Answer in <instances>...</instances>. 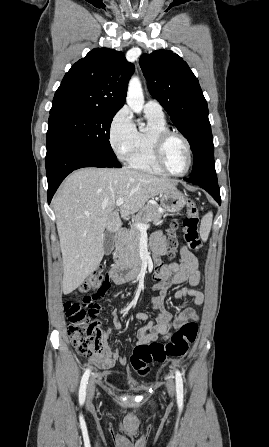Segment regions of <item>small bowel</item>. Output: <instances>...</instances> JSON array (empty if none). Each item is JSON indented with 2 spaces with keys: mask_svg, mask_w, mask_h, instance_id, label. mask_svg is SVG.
I'll list each match as a JSON object with an SVG mask.
<instances>
[{
  "mask_svg": "<svg viewBox=\"0 0 269 447\" xmlns=\"http://www.w3.org/2000/svg\"><path fill=\"white\" fill-rule=\"evenodd\" d=\"M151 247L156 255H162L166 252V239L161 231H156L151 238ZM181 260L178 263L163 264L155 274L157 283L154 288L158 295L153 297L152 306L159 312L157 320H150V316L145 312H138L135 318L147 321V324L139 329L137 333L138 343L144 344L154 341L158 338H167L173 322L172 314L165 308L164 301L171 285L187 283L174 293L175 300L193 299L196 305L203 303L204 295L202 292L194 289L200 282V271L198 260L195 255L186 247L180 249ZM112 316L116 325L119 324V314L117 310L112 311ZM198 315L192 308L183 309L175 319L174 327L180 328L182 321L197 320ZM108 334L105 335L103 343V352L92 356V362L102 369H110L117 362L122 366L126 365V358L120 356L117 349L110 347L107 342Z\"/></svg>",
  "mask_w": 269,
  "mask_h": 447,
  "instance_id": "c3829d8e",
  "label": "small bowel"
}]
</instances>
